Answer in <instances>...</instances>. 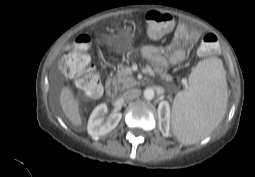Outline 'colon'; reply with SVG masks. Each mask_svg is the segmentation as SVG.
Instances as JSON below:
<instances>
[{
  "label": "colon",
  "mask_w": 255,
  "mask_h": 177,
  "mask_svg": "<svg viewBox=\"0 0 255 177\" xmlns=\"http://www.w3.org/2000/svg\"><path fill=\"white\" fill-rule=\"evenodd\" d=\"M147 33L153 39H159L169 32L174 25V18L166 12L150 10L145 14ZM91 40L88 35H79L65 49L59 61L61 71L75 79L76 86L89 97H97L102 90L98 71L92 66L88 54ZM218 39L214 34H207L200 43L202 53L216 50Z\"/></svg>",
  "instance_id": "obj_1"
}]
</instances>
